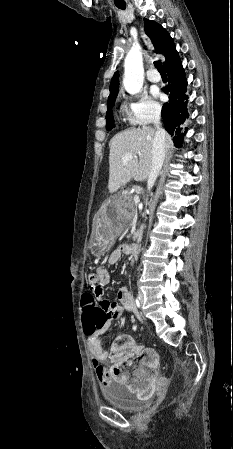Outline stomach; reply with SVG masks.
I'll return each mask as SVG.
<instances>
[{"instance_id":"obj_1","label":"stomach","mask_w":233,"mask_h":449,"mask_svg":"<svg viewBox=\"0 0 233 449\" xmlns=\"http://www.w3.org/2000/svg\"><path fill=\"white\" fill-rule=\"evenodd\" d=\"M121 197H114L112 201H101L100 208L103 212H95L97 239L92 245V253L101 255L107 252L112 246V239L109 237L113 227L117 226V219L120 216L119 201Z\"/></svg>"}]
</instances>
